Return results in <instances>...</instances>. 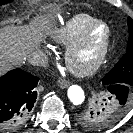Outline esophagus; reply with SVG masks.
<instances>
[{"mask_svg":"<svg viewBox=\"0 0 133 133\" xmlns=\"http://www.w3.org/2000/svg\"><path fill=\"white\" fill-rule=\"evenodd\" d=\"M57 84L61 89H64L69 86L70 82L65 79H59Z\"/></svg>","mask_w":133,"mask_h":133,"instance_id":"obj_1","label":"esophagus"}]
</instances>
